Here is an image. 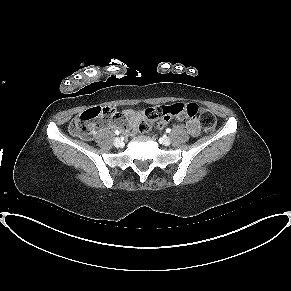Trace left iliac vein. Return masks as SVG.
<instances>
[{
  "mask_svg": "<svg viewBox=\"0 0 291 291\" xmlns=\"http://www.w3.org/2000/svg\"><path fill=\"white\" fill-rule=\"evenodd\" d=\"M162 143L165 146H169L171 144V139L169 137H165V138H163Z\"/></svg>",
  "mask_w": 291,
  "mask_h": 291,
  "instance_id": "left-iliac-vein-1",
  "label": "left iliac vein"
}]
</instances>
